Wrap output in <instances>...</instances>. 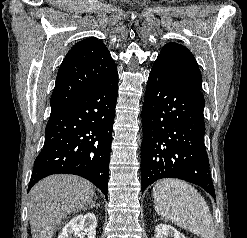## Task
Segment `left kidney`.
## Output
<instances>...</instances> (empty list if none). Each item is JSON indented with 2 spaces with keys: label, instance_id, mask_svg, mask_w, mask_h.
Listing matches in <instances>:
<instances>
[{
  "label": "left kidney",
  "instance_id": "left-kidney-1",
  "mask_svg": "<svg viewBox=\"0 0 247 238\" xmlns=\"http://www.w3.org/2000/svg\"><path fill=\"white\" fill-rule=\"evenodd\" d=\"M186 238L171 225L159 224L155 228V238Z\"/></svg>",
  "mask_w": 247,
  "mask_h": 238
}]
</instances>
